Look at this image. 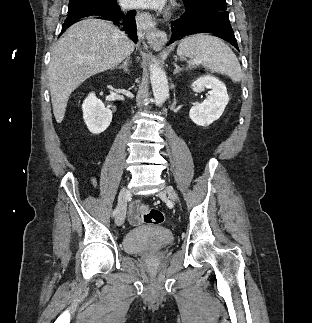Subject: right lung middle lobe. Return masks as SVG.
I'll list each match as a JSON object with an SVG mask.
<instances>
[{
    "instance_id": "obj_1",
    "label": "right lung middle lobe",
    "mask_w": 312,
    "mask_h": 323,
    "mask_svg": "<svg viewBox=\"0 0 312 323\" xmlns=\"http://www.w3.org/2000/svg\"><path fill=\"white\" fill-rule=\"evenodd\" d=\"M113 3H116V0H69L68 13L75 10L109 5Z\"/></svg>"
}]
</instances>
